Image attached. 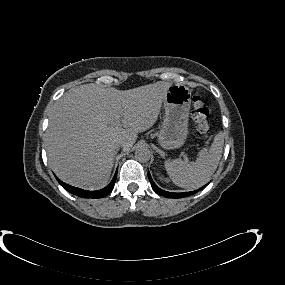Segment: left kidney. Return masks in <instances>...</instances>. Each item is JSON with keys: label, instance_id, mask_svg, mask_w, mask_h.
I'll use <instances>...</instances> for the list:
<instances>
[{"label": "left kidney", "instance_id": "5707ae66", "mask_svg": "<svg viewBox=\"0 0 285 285\" xmlns=\"http://www.w3.org/2000/svg\"><path fill=\"white\" fill-rule=\"evenodd\" d=\"M158 179H159L161 182H167V181H168L166 178H164L162 175H159V174H158Z\"/></svg>", "mask_w": 285, "mask_h": 285}]
</instances>
